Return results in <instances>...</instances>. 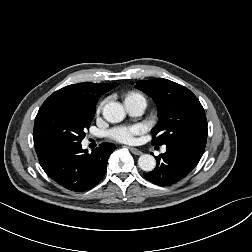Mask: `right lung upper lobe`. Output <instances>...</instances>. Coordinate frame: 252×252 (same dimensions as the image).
<instances>
[{
  "mask_svg": "<svg viewBox=\"0 0 252 252\" xmlns=\"http://www.w3.org/2000/svg\"><path fill=\"white\" fill-rule=\"evenodd\" d=\"M116 86H118V83L85 82L68 85L50 95L45 100V103L51 101H65L95 109L99 97Z\"/></svg>",
  "mask_w": 252,
  "mask_h": 252,
  "instance_id": "right-lung-upper-lobe-1",
  "label": "right lung upper lobe"
}]
</instances>
